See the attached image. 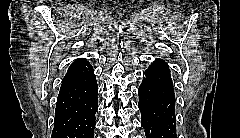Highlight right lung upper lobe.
<instances>
[{"instance_id":"1","label":"right lung upper lobe","mask_w":240,"mask_h":138,"mask_svg":"<svg viewBox=\"0 0 240 138\" xmlns=\"http://www.w3.org/2000/svg\"><path fill=\"white\" fill-rule=\"evenodd\" d=\"M93 67L84 59L75 60L69 67L62 85L74 83L93 74Z\"/></svg>"}]
</instances>
